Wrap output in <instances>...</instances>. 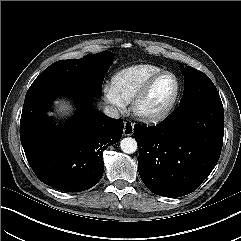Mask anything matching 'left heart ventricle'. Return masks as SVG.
<instances>
[{
    "label": "left heart ventricle",
    "instance_id": "obj_1",
    "mask_svg": "<svg viewBox=\"0 0 241 241\" xmlns=\"http://www.w3.org/2000/svg\"><path fill=\"white\" fill-rule=\"evenodd\" d=\"M174 92V78L164 76L155 83L145 99L142 108L146 111H156L162 108L172 98Z\"/></svg>",
    "mask_w": 241,
    "mask_h": 241
}]
</instances>
